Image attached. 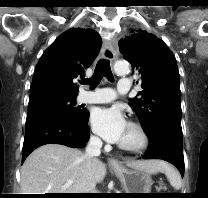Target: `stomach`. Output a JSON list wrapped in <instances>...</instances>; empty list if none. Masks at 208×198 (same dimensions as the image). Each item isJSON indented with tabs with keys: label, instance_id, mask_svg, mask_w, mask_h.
I'll return each mask as SVG.
<instances>
[{
	"label": "stomach",
	"instance_id": "stomach-1",
	"mask_svg": "<svg viewBox=\"0 0 208 198\" xmlns=\"http://www.w3.org/2000/svg\"><path fill=\"white\" fill-rule=\"evenodd\" d=\"M112 169L121 181L125 193H150L152 178L148 172L124 166Z\"/></svg>",
	"mask_w": 208,
	"mask_h": 198
}]
</instances>
